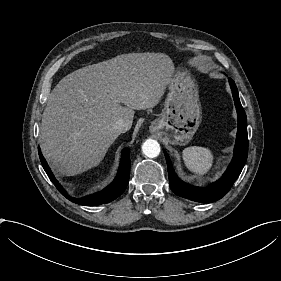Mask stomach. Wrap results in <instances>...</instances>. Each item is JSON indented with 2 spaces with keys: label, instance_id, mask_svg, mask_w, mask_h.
<instances>
[{
  "label": "stomach",
  "instance_id": "stomach-1",
  "mask_svg": "<svg viewBox=\"0 0 281 281\" xmlns=\"http://www.w3.org/2000/svg\"><path fill=\"white\" fill-rule=\"evenodd\" d=\"M163 111L150 130L161 133L170 145H186L202 122L199 85L187 68L172 72Z\"/></svg>",
  "mask_w": 281,
  "mask_h": 281
}]
</instances>
